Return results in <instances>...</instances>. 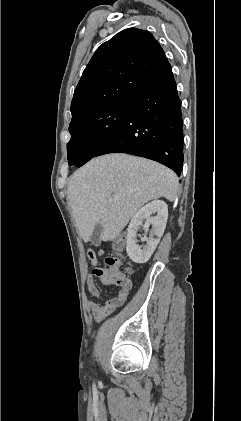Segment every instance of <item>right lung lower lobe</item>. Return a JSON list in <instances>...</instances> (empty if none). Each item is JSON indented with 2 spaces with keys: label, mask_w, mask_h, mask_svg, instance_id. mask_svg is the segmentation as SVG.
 <instances>
[{
  "label": "right lung lower lobe",
  "mask_w": 241,
  "mask_h": 421,
  "mask_svg": "<svg viewBox=\"0 0 241 421\" xmlns=\"http://www.w3.org/2000/svg\"><path fill=\"white\" fill-rule=\"evenodd\" d=\"M114 152L145 157L181 174V100L169 62L129 99L121 126L96 156Z\"/></svg>",
  "instance_id": "1"
}]
</instances>
